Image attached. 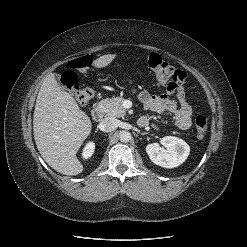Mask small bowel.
I'll return each mask as SVG.
<instances>
[{
    "label": "small bowel",
    "mask_w": 247,
    "mask_h": 247,
    "mask_svg": "<svg viewBox=\"0 0 247 247\" xmlns=\"http://www.w3.org/2000/svg\"><path fill=\"white\" fill-rule=\"evenodd\" d=\"M138 99L148 111L155 113L169 112L173 114L175 125L179 130H188L192 124L193 109L187 102L183 82L168 86L164 94L152 95L146 90L135 92ZM149 124L147 117H142Z\"/></svg>",
    "instance_id": "c3829d8e"
}]
</instances>
